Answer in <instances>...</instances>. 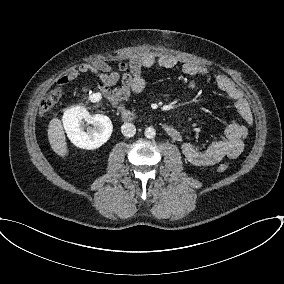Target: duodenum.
Returning a JSON list of instances; mask_svg holds the SVG:
<instances>
[{
  "instance_id": "410a0bca",
  "label": "duodenum",
  "mask_w": 284,
  "mask_h": 284,
  "mask_svg": "<svg viewBox=\"0 0 284 284\" xmlns=\"http://www.w3.org/2000/svg\"><path fill=\"white\" fill-rule=\"evenodd\" d=\"M118 111L121 114V118L124 122H134L137 120V116L135 113L125 108L124 106H118ZM164 132L170 137H176L178 135V130L170 125L163 126Z\"/></svg>"
}]
</instances>
